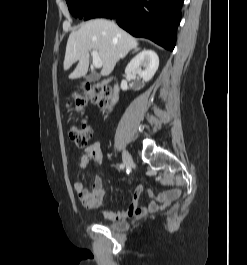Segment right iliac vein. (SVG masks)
<instances>
[{
	"instance_id": "obj_1",
	"label": "right iliac vein",
	"mask_w": 247,
	"mask_h": 265,
	"mask_svg": "<svg viewBox=\"0 0 247 265\" xmlns=\"http://www.w3.org/2000/svg\"><path fill=\"white\" fill-rule=\"evenodd\" d=\"M122 159H123V163L126 167H131V165L133 164V159L130 155V153L128 151H124L122 154Z\"/></svg>"
}]
</instances>
